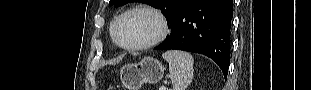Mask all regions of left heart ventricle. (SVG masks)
<instances>
[{
    "instance_id": "left-heart-ventricle-1",
    "label": "left heart ventricle",
    "mask_w": 311,
    "mask_h": 90,
    "mask_svg": "<svg viewBox=\"0 0 311 90\" xmlns=\"http://www.w3.org/2000/svg\"><path fill=\"white\" fill-rule=\"evenodd\" d=\"M158 31L155 18L146 13H133L125 17L118 27L122 44L134 45L150 40Z\"/></svg>"
}]
</instances>
